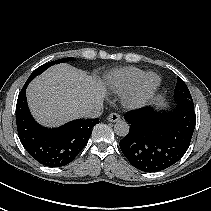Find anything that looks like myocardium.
I'll list each match as a JSON object with an SVG mask.
<instances>
[{
	"mask_svg": "<svg viewBox=\"0 0 211 211\" xmlns=\"http://www.w3.org/2000/svg\"><path fill=\"white\" fill-rule=\"evenodd\" d=\"M151 77L156 78L154 85H148V80ZM161 82V77L157 73H146L134 90L125 96L124 105L130 109H139L146 106L159 90Z\"/></svg>",
	"mask_w": 211,
	"mask_h": 211,
	"instance_id": "myocardium-1",
	"label": "myocardium"
}]
</instances>
